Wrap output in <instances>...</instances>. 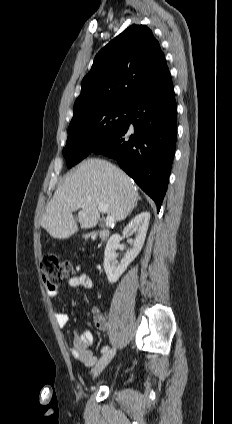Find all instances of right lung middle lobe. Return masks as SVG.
I'll list each match as a JSON object with an SVG mask.
<instances>
[{
    "label": "right lung middle lobe",
    "mask_w": 232,
    "mask_h": 424,
    "mask_svg": "<svg viewBox=\"0 0 232 424\" xmlns=\"http://www.w3.org/2000/svg\"><path fill=\"white\" fill-rule=\"evenodd\" d=\"M130 111L131 106L104 105L86 109L74 116L63 149L68 168L80 162L120 130L128 122Z\"/></svg>",
    "instance_id": "right-lung-middle-lobe-1"
}]
</instances>
